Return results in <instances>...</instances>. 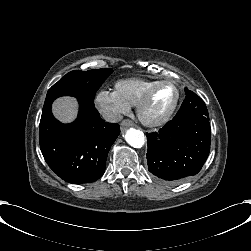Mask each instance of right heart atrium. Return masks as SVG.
I'll use <instances>...</instances> for the list:
<instances>
[{
  "label": "right heart atrium",
  "mask_w": 251,
  "mask_h": 251,
  "mask_svg": "<svg viewBox=\"0 0 251 251\" xmlns=\"http://www.w3.org/2000/svg\"><path fill=\"white\" fill-rule=\"evenodd\" d=\"M94 104L98 112L109 122H116L122 114L130 111L131 106L121 100L115 91L99 90L94 96Z\"/></svg>",
  "instance_id": "d8ad5b80"
}]
</instances>
